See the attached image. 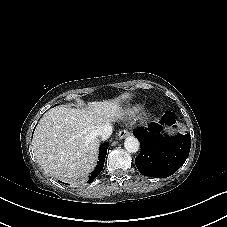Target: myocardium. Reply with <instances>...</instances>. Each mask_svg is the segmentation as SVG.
Listing matches in <instances>:
<instances>
[{
  "mask_svg": "<svg viewBox=\"0 0 227 227\" xmlns=\"http://www.w3.org/2000/svg\"><path fill=\"white\" fill-rule=\"evenodd\" d=\"M151 116H152V110L144 109L141 112H139V114L135 118V121L138 124L143 125L148 122V120L151 118Z\"/></svg>",
  "mask_w": 227,
  "mask_h": 227,
  "instance_id": "myocardium-1",
  "label": "myocardium"
}]
</instances>
